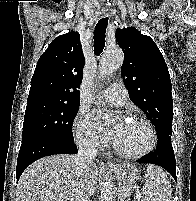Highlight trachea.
<instances>
[{
  "instance_id": "1",
  "label": "trachea",
  "mask_w": 196,
  "mask_h": 201,
  "mask_svg": "<svg viewBox=\"0 0 196 201\" xmlns=\"http://www.w3.org/2000/svg\"><path fill=\"white\" fill-rule=\"evenodd\" d=\"M108 25V18H101L94 31V52L99 55L105 47V33Z\"/></svg>"
}]
</instances>
